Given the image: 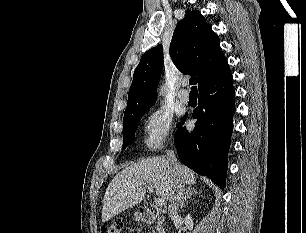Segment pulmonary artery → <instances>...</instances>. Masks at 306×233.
Here are the masks:
<instances>
[{
    "label": "pulmonary artery",
    "mask_w": 306,
    "mask_h": 233,
    "mask_svg": "<svg viewBox=\"0 0 306 233\" xmlns=\"http://www.w3.org/2000/svg\"><path fill=\"white\" fill-rule=\"evenodd\" d=\"M187 82L183 83V88L178 93V98L182 103H188L190 99V95L186 89Z\"/></svg>",
    "instance_id": "e3ab8cb5"
}]
</instances>
